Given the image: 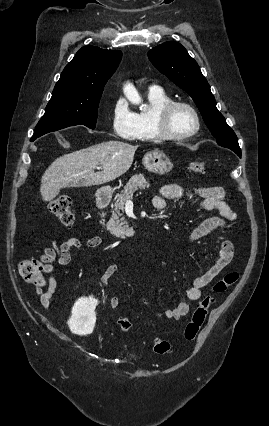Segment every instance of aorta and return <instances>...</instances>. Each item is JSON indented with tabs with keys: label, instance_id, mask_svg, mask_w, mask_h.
Returning a JSON list of instances; mask_svg holds the SVG:
<instances>
[{
	"label": "aorta",
	"instance_id": "obj_1",
	"mask_svg": "<svg viewBox=\"0 0 269 426\" xmlns=\"http://www.w3.org/2000/svg\"><path fill=\"white\" fill-rule=\"evenodd\" d=\"M123 92L126 98L135 105H139L141 103V97L137 91V89L132 84H127L123 88ZM142 110L146 109V105H141Z\"/></svg>",
	"mask_w": 269,
	"mask_h": 426
}]
</instances>
